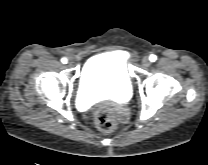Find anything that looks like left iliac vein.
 I'll return each instance as SVG.
<instances>
[{"instance_id":"left-iliac-vein-1","label":"left iliac vein","mask_w":208,"mask_h":165,"mask_svg":"<svg viewBox=\"0 0 208 165\" xmlns=\"http://www.w3.org/2000/svg\"><path fill=\"white\" fill-rule=\"evenodd\" d=\"M142 64L145 66V67H148L150 66L151 62H150V59L148 57H144L142 59Z\"/></svg>"}]
</instances>
